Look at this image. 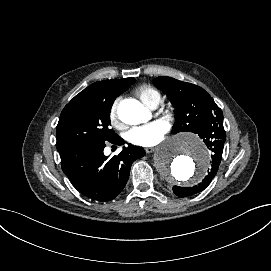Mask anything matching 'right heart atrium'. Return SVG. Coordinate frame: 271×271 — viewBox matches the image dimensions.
<instances>
[{
  "label": "right heart atrium",
  "mask_w": 271,
  "mask_h": 271,
  "mask_svg": "<svg viewBox=\"0 0 271 271\" xmlns=\"http://www.w3.org/2000/svg\"><path fill=\"white\" fill-rule=\"evenodd\" d=\"M120 98H116L114 99V101L112 102L111 106H110V109H109V118H110V121L116 125L117 124V114H116V107H117V104L119 102Z\"/></svg>",
  "instance_id": "right-heart-atrium-1"
}]
</instances>
